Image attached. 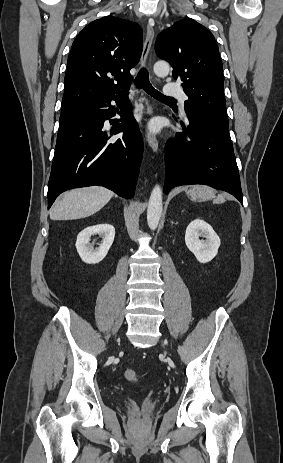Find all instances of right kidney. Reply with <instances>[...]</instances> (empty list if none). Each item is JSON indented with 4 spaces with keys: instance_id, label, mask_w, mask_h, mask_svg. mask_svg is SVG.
I'll return each instance as SVG.
<instances>
[{
    "instance_id": "obj_1",
    "label": "right kidney",
    "mask_w": 283,
    "mask_h": 463,
    "mask_svg": "<svg viewBox=\"0 0 283 463\" xmlns=\"http://www.w3.org/2000/svg\"><path fill=\"white\" fill-rule=\"evenodd\" d=\"M94 234H99L103 241L97 250L89 244L90 238ZM115 237V229L110 224H99L82 230L76 241V249L82 261L87 264H96L102 261L107 255Z\"/></svg>"
}]
</instances>
